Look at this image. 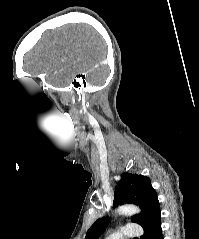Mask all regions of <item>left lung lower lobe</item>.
<instances>
[{"label": "left lung lower lobe", "mask_w": 199, "mask_h": 239, "mask_svg": "<svg viewBox=\"0 0 199 239\" xmlns=\"http://www.w3.org/2000/svg\"><path fill=\"white\" fill-rule=\"evenodd\" d=\"M143 229L144 235L140 239H164L161 229V212L158 211Z\"/></svg>", "instance_id": "left-lung-lower-lobe-1"}]
</instances>
